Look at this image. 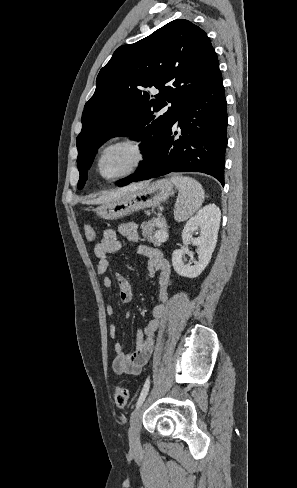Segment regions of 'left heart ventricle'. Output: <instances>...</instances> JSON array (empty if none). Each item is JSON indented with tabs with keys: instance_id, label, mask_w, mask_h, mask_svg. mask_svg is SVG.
I'll use <instances>...</instances> for the list:
<instances>
[{
	"instance_id": "obj_1",
	"label": "left heart ventricle",
	"mask_w": 297,
	"mask_h": 488,
	"mask_svg": "<svg viewBox=\"0 0 297 488\" xmlns=\"http://www.w3.org/2000/svg\"><path fill=\"white\" fill-rule=\"evenodd\" d=\"M137 157L138 152L133 146H115L105 153L102 159V171L107 177L116 176L129 169Z\"/></svg>"
}]
</instances>
